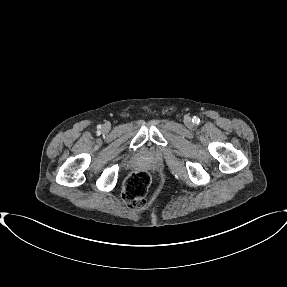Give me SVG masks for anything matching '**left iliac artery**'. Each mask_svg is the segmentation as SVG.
I'll return each instance as SVG.
<instances>
[{
	"instance_id": "44dca946",
	"label": "left iliac artery",
	"mask_w": 287,
	"mask_h": 287,
	"mask_svg": "<svg viewBox=\"0 0 287 287\" xmlns=\"http://www.w3.org/2000/svg\"><path fill=\"white\" fill-rule=\"evenodd\" d=\"M192 121H193L194 123H197V124H198L200 120H199V118L194 117V118L192 119Z\"/></svg>"
}]
</instances>
